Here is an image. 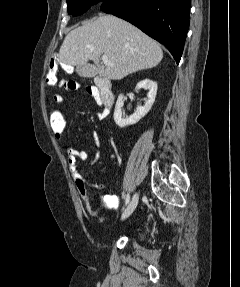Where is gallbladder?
I'll return each mask as SVG.
<instances>
[{
    "instance_id": "1",
    "label": "gallbladder",
    "mask_w": 240,
    "mask_h": 287,
    "mask_svg": "<svg viewBox=\"0 0 240 287\" xmlns=\"http://www.w3.org/2000/svg\"><path fill=\"white\" fill-rule=\"evenodd\" d=\"M76 73L80 77L93 78L97 75V67L91 64H81L76 66Z\"/></svg>"
}]
</instances>
